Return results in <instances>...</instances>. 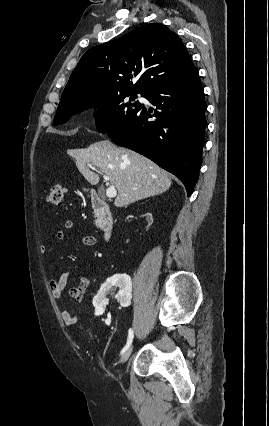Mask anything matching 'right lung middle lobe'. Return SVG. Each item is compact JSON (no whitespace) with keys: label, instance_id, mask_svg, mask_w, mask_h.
I'll use <instances>...</instances> for the list:
<instances>
[{"label":"right lung middle lobe","instance_id":"dd1d6c3e","mask_svg":"<svg viewBox=\"0 0 269 426\" xmlns=\"http://www.w3.org/2000/svg\"><path fill=\"white\" fill-rule=\"evenodd\" d=\"M139 92H121L110 95L79 96L61 98L53 125L64 124L71 116L95 104L97 130L102 133L118 128L140 108L141 104L132 102ZM144 97V93H139ZM129 97V101L126 99Z\"/></svg>","mask_w":269,"mask_h":426}]
</instances>
